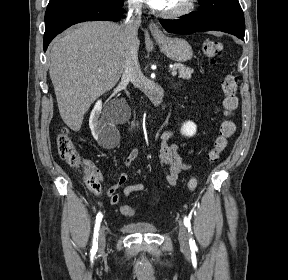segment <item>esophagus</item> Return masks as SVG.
I'll list each match as a JSON object with an SVG mask.
<instances>
[{
  "mask_svg": "<svg viewBox=\"0 0 288 280\" xmlns=\"http://www.w3.org/2000/svg\"><path fill=\"white\" fill-rule=\"evenodd\" d=\"M149 30H150L153 37H162L163 36L162 31L157 26V24L154 22L149 23Z\"/></svg>",
  "mask_w": 288,
  "mask_h": 280,
  "instance_id": "obj_1",
  "label": "esophagus"
}]
</instances>
